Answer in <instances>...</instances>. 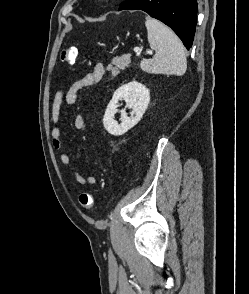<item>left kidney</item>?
<instances>
[{"label":"left kidney","mask_w":249,"mask_h":294,"mask_svg":"<svg viewBox=\"0 0 249 294\" xmlns=\"http://www.w3.org/2000/svg\"><path fill=\"white\" fill-rule=\"evenodd\" d=\"M124 100L126 107L132 109L128 117L125 110H121V123L114 119L118 112V102ZM150 102V91L143 84L132 81L119 87L113 94L103 118L104 128L112 135H122L134 127L142 118Z\"/></svg>","instance_id":"5707ae66"}]
</instances>
